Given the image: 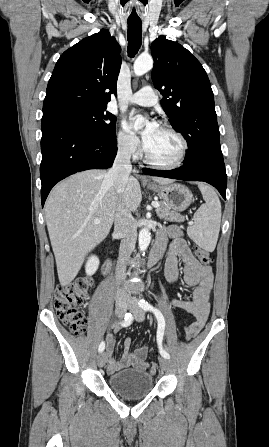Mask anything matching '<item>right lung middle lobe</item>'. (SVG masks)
<instances>
[{
	"mask_svg": "<svg viewBox=\"0 0 269 447\" xmlns=\"http://www.w3.org/2000/svg\"><path fill=\"white\" fill-rule=\"evenodd\" d=\"M104 106H64L56 108L52 113H63L76 120L83 128L100 134L115 135L116 117L106 112Z\"/></svg>",
	"mask_w": 269,
	"mask_h": 447,
	"instance_id": "dd1d6c3e",
	"label": "right lung middle lobe"
}]
</instances>
